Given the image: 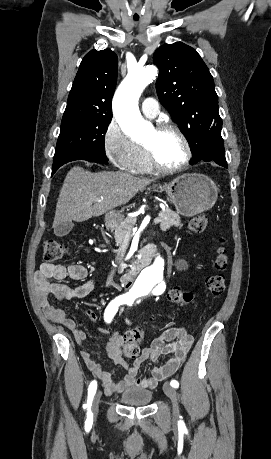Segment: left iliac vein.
<instances>
[{
  "instance_id": "obj_1",
  "label": "left iliac vein",
  "mask_w": 271,
  "mask_h": 459,
  "mask_svg": "<svg viewBox=\"0 0 271 459\" xmlns=\"http://www.w3.org/2000/svg\"><path fill=\"white\" fill-rule=\"evenodd\" d=\"M164 393L169 397L172 403V413L175 415L178 413V399L175 389L169 384L164 383L163 385Z\"/></svg>"
}]
</instances>
